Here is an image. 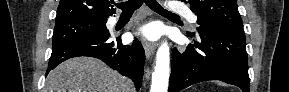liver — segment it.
<instances>
[{
	"label": "liver",
	"mask_w": 289,
	"mask_h": 92,
	"mask_svg": "<svg viewBox=\"0 0 289 92\" xmlns=\"http://www.w3.org/2000/svg\"><path fill=\"white\" fill-rule=\"evenodd\" d=\"M44 92H133L130 82L102 61L76 57L61 63L46 79Z\"/></svg>",
	"instance_id": "6515ba94"
}]
</instances>
